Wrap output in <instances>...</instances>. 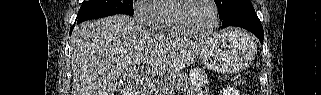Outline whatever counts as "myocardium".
Listing matches in <instances>:
<instances>
[{
    "mask_svg": "<svg viewBox=\"0 0 321 95\" xmlns=\"http://www.w3.org/2000/svg\"><path fill=\"white\" fill-rule=\"evenodd\" d=\"M192 0H174L173 4L170 6L169 13H168V21L171 25V27L176 30L177 32L189 36H207L215 31V29L218 26V17L219 12L216 5V2L214 0H207L212 8H213V23L210 26L208 30L205 31H198L195 30L186 24H184L179 16V12L182 8V6Z\"/></svg>",
    "mask_w": 321,
    "mask_h": 95,
    "instance_id": "f54148a6",
    "label": "myocardium"
}]
</instances>
